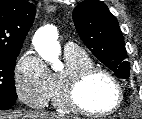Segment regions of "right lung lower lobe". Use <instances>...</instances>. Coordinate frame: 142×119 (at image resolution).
Instances as JSON below:
<instances>
[{
  "mask_svg": "<svg viewBox=\"0 0 142 119\" xmlns=\"http://www.w3.org/2000/svg\"><path fill=\"white\" fill-rule=\"evenodd\" d=\"M15 103L12 102H5V101H0V110H7L10 107H12Z\"/></svg>",
  "mask_w": 142,
  "mask_h": 119,
  "instance_id": "98d812e1",
  "label": "right lung lower lobe"
}]
</instances>
